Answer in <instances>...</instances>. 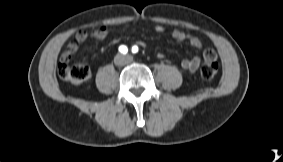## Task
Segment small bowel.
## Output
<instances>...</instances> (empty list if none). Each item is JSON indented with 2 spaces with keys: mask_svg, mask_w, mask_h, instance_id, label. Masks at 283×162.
I'll return each mask as SVG.
<instances>
[{
  "mask_svg": "<svg viewBox=\"0 0 283 162\" xmlns=\"http://www.w3.org/2000/svg\"><path fill=\"white\" fill-rule=\"evenodd\" d=\"M154 30L158 33H163L165 31V28L162 25L157 24L154 26ZM107 34H108L107 28L105 26H101L93 31L92 36L96 39H103L107 36ZM170 36L174 41L178 43L188 41L193 47L197 49L202 48V42L199 38L194 37L188 33L182 32L178 29L171 30ZM87 38H88L87 32L85 31L77 32L74 39L68 44L66 51L62 54L61 60L68 62L69 59L77 52L80 44L84 42ZM138 44L144 46L143 42H138ZM208 52H212L216 56V54L212 50H206L204 52L203 59H205L206 54ZM157 56L158 58L163 57L161 53H159ZM200 64H201V58L197 55H194L190 58L182 59L179 63L180 67L188 73H195L198 70Z\"/></svg>",
  "mask_w": 283,
  "mask_h": 162,
  "instance_id": "small-bowel-1",
  "label": "small bowel"
}]
</instances>
